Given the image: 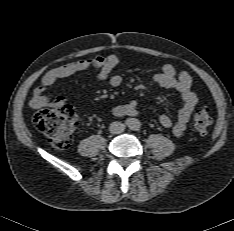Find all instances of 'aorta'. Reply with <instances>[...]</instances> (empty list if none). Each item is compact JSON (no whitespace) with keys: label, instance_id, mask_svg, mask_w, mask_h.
I'll list each match as a JSON object with an SVG mask.
<instances>
[{"label":"aorta","instance_id":"1","mask_svg":"<svg viewBox=\"0 0 234 231\" xmlns=\"http://www.w3.org/2000/svg\"><path fill=\"white\" fill-rule=\"evenodd\" d=\"M128 127L131 129V130H139L140 127H141V122L138 120V119H135V118H131L128 120Z\"/></svg>","mask_w":234,"mask_h":231}]
</instances>
